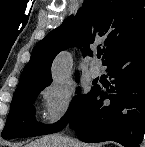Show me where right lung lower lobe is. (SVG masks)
<instances>
[{"label":"right lung lower lobe","instance_id":"98d812e1","mask_svg":"<svg viewBox=\"0 0 145 147\" xmlns=\"http://www.w3.org/2000/svg\"><path fill=\"white\" fill-rule=\"evenodd\" d=\"M114 86H95L68 125L84 142L139 147L145 133V28L103 63Z\"/></svg>","mask_w":145,"mask_h":147}]
</instances>
